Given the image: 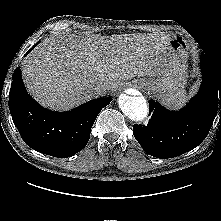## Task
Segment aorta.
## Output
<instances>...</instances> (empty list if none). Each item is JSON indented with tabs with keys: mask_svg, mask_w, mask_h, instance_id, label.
Returning a JSON list of instances; mask_svg holds the SVG:
<instances>
[{
	"mask_svg": "<svg viewBox=\"0 0 221 221\" xmlns=\"http://www.w3.org/2000/svg\"><path fill=\"white\" fill-rule=\"evenodd\" d=\"M121 111L132 121H142L148 115V106L143 96L121 94L118 98Z\"/></svg>",
	"mask_w": 221,
	"mask_h": 221,
	"instance_id": "1",
	"label": "aorta"
}]
</instances>
